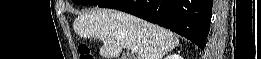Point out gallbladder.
<instances>
[{"instance_id": "bac80fb5", "label": "gallbladder", "mask_w": 261, "mask_h": 59, "mask_svg": "<svg viewBox=\"0 0 261 59\" xmlns=\"http://www.w3.org/2000/svg\"><path fill=\"white\" fill-rule=\"evenodd\" d=\"M123 58H124V59H131V57L128 56V55H125Z\"/></svg>"}]
</instances>
